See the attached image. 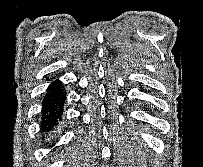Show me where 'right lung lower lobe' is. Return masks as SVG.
I'll list each match as a JSON object with an SVG mask.
<instances>
[{
  "label": "right lung lower lobe",
  "mask_w": 203,
  "mask_h": 167,
  "mask_svg": "<svg viewBox=\"0 0 203 167\" xmlns=\"http://www.w3.org/2000/svg\"><path fill=\"white\" fill-rule=\"evenodd\" d=\"M66 92L59 81L50 84L42 102L41 130L48 134L54 131L59 122L64 109Z\"/></svg>",
  "instance_id": "1"
}]
</instances>
